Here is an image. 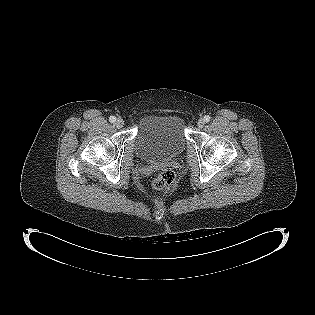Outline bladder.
Segmentation results:
<instances>
[{"label":"bladder","mask_w":315,"mask_h":315,"mask_svg":"<svg viewBox=\"0 0 315 315\" xmlns=\"http://www.w3.org/2000/svg\"><path fill=\"white\" fill-rule=\"evenodd\" d=\"M186 144L185 122L177 113L145 116L135 136L137 155L148 162L176 158Z\"/></svg>","instance_id":"obj_1"}]
</instances>
